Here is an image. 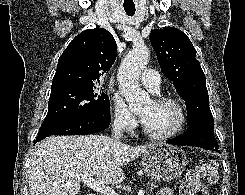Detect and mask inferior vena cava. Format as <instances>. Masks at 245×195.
<instances>
[{"mask_svg":"<svg viewBox=\"0 0 245 195\" xmlns=\"http://www.w3.org/2000/svg\"><path fill=\"white\" fill-rule=\"evenodd\" d=\"M125 123L123 119L116 118L113 125V137L115 140L119 141L121 136L123 135V129H124Z\"/></svg>","mask_w":245,"mask_h":195,"instance_id":"602c4592","label":"inferior vena cava"}]
</instances>
